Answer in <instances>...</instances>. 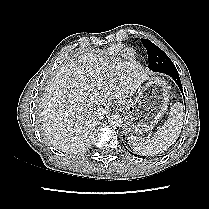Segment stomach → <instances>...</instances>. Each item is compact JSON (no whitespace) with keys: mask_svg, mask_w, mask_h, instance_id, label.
Segmentation results:
<instances>
[{"mask_svg":"<svg viewBox=\"0 0 209 209\" xmlns=\"http://www.w3.org/2000/svg\"><path fill=\"white\" fill-rule=\"evenodd\" d=\"M119 105L125 115L126 133H148L154 129L168 108V85L163 79L152 77L139 88L135 100L119 101Z\"/></svg>","mask_w":209,"mask_h":209,"instance_id":"0dacf381","label":"stomach"}]
</instances>
